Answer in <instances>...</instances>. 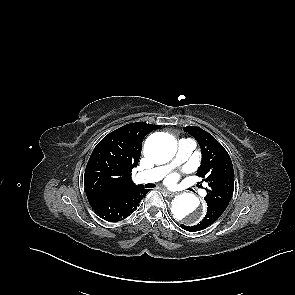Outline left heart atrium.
Here are the masks:
<instances>
[{
	"label": "left heart atrium",
	"instance_id": "left-heart-atrium-1",
	"mask_svg": "<svg viewBox=\"0 0 295 295\" xmlns=\"http://www.w3.org/2000/svg\"><path fill=\"white\" fill-rule=\"evenodd\" d=\"M178 179H179V175L178 174H172V175H170V176L167 177L166 183L168 185H175L177 183Z\"/></svg>",
	"mask_w": 295,
	"mask_h": 295
}]
</instances>
